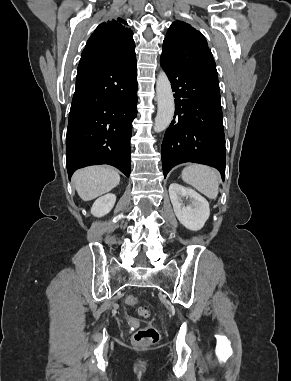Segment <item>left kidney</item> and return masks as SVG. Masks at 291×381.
Wrapping results in <instances>:
<instances>
[{
	"label": "left kidney",
	"instance_id": "obj_1",
	"mask_svg": "<svg viewBox=\"0 0 291 381\" xmlns=\"http://www.w3.org/2000/svg\"><path fill=\"white\" fill-rule=\"evenodd\" d=\"M169 196L175 215L183 226L191 231L203 228L210 215L209 203L203 196L177 183L169 186Z\"/></svg>",
	"mask_w": 291,
	"mask_h": 381
}]
</instances>
